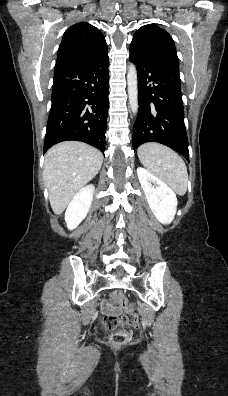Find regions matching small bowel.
Instances as JSON below:
<instances>
[{"label":"small bowel","mask_w":228,"mask_h":396,"mask_svg":"<svg viewBox=\"0 0 228 396\" xmlns=\"http://www.w3.org/2000/svg\"><path fill=\"white\" fill-rule=\"evenodd\" d=\"M102 309H103V311L106 312V313H109V312L112 311L110 305H109L107 302H104V303H103Z\"/></svg>","instance_id":"small-bowel-1"}]
</instances>
